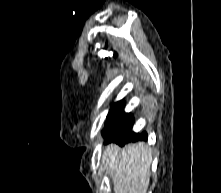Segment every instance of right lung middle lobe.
I'll list each match as a JSON object with an SVG mask.
<instances>
[{"label": "right lung middle lobe", "mask_w": 221, "mask_h": 193, "mask_svg": "<svg viewBox=\"0 0 221 193\" xmlns=\"http://www.w3.org/2000/svg\"><path fill=\"white\" fill-rule=\"evenodd\" d=\"M123 108V104L111 108L107 116L106 126L102 132L105 144L121 138L131 131L133 117L131 114H125Z\"/></svg>", "instance_id": "obj_1"}]
</instances>
